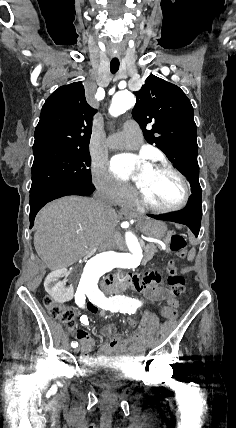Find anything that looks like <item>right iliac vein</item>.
Here are the masks:
<instances>
[{
  "label": "right iliac vein",
  "instance_id": "1",
  "mask_svg": "<svg viewBox=\"0 0 236 428\" xmlns=\"http://www.w3.org/2000/svg\"><path fill=\"white\" fill-rule=\"evenodd\" d=\"M80 350H81V347L77 346L76 349H74V354H79Z\"/></svg>",
  "mask_w": 236,
  "mask_h": 428
}]
</instances>
